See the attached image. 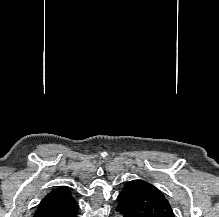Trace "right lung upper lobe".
Listing matches in <instances>:
<instances>
[{
  "instance_id": "obj_1",
  "label": "right lung upper lobe",
  "mask_w": 219,
  "mask_h": 217,
  "mask_svg": "<svg viewBox=\"0 0 219 217\" xmlns=\"http://www.w3.org/2000/svg\"><path fill=\"white\" fill-rule=\"evenodd\" d=\"M77 209L78 204L69 189L60 186L44 197L33 217H66Z\"/></svg>"
}]
</instances>
